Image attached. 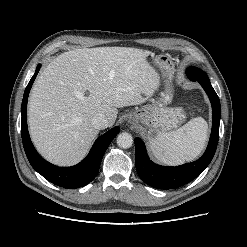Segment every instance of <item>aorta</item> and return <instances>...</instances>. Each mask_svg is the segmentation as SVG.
Returning <instances> with one entry per match:
<instances>
[{"label": "aorta", "mask_w": 247, "mask_h": 247, "mask_svg": "<svg viewBox=\"0 0 247 247\" xmlns=\"http://www.w3.org/2000/svg\"><path fill=\"white\" fill-rule=\"evenodd\" d=\"M133 144V137L127 132L120 133L117 136V145L120 148L127 149L130 148Z\"/></svg>", "instance_id": "obj_1"}]
</instances>
